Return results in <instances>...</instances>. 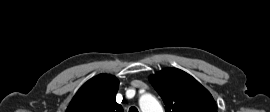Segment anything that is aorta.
Returning <instances> with one entry per match:
<instances>
[{
  "mask_svg": "<svg viewBox=\"0 0 270 112\" xmlns=\"http://www.w3.org/2000/svg\"><path fill=\"white\" fill-rule=\"evenodd\" d=\"M142 112H164L158 100L151 94H144L139 99Z\"/></svg>",
  "mask_w": 270,
  "mask_h": 112,
  "instance_id": "obj_1",
  "label": "aorta"
}]
</instances>
